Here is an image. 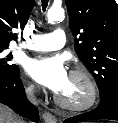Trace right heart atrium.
Listing matches in <instances>:
<instances>
[{"label":"right heart atrium","mask_w":118,"mask_h":123,"mask_svg":"<svg viewBox=\"0 0 118 123\" xmlns=\"http://www.w3.org/2000/svg\"><path fill=\"white\" fill-rule=\"evenodd\" d=\"M33 90H34V87H33L32 85H30V86L27 88V91H28L29 93H32Z\"/></svg>","instance_id":"1"}]
</instances>
